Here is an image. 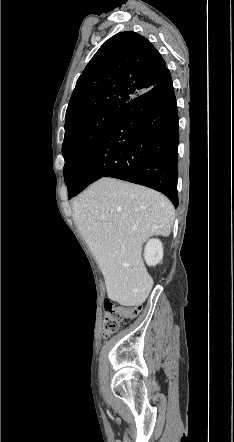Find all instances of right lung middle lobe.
Wrapping results in <instances>:
<instances>
[{
	"label": "right lung middle lobe",
	"instance_id": "obj_1",
	"mask_svg": "<svg viewBox=\"0 0 234 442\" xmlns=\"http://www.w3.org/2000/svg\"><path fill=\"white\" fill-rule=\"evenodd\" d=\"M120 108H106L84 115L65 125L62 153L67 187L71 183L70 172L77 162L102 138Z\"/></svg>",
	"mask_w": 234,
	"mask_h": 442
}]
</instances>
